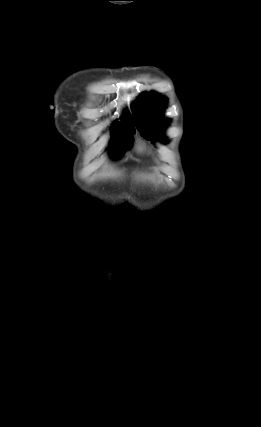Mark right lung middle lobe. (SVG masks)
<instances>
[{
    "mask_svg": "<svg viewBox=\"0 0 261 427\" xmlns=\"http://www.w3.org/2000/svg\"><path fill=\"white\" fill-rule=\"evenodd\" d=\"M135 129L132 124L118 125L111 139V152L114 157H121L126 149L131 148Z\"/></svg>",
    "mask_w": 261,
    "mask_h": 427,
    "instance_id": "dd1d6c3e",
    "label": "right lung middle lobe"
}]
</instances>
